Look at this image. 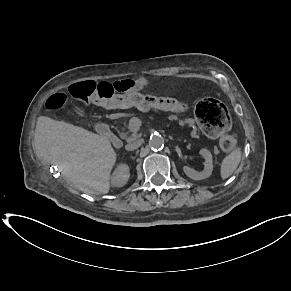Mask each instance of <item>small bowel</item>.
Instances as JSON below:
<instances>
[{
	"label": "small bowel",
	"instance_id": "obj_1",
	"mask_svg": "<svg viewBox=\"0 0 291 291\" xmlns=\"http://www.w3.org/2000/svg\"><path fill=\"white\" fill-rule=\"evenodd\" d=\"M131 84V92L137 93V91L145 85L143 80L129 81Z\"/></svg>",
	"mask_w": 291,
	"mask_h": 291
}]
</instances>
